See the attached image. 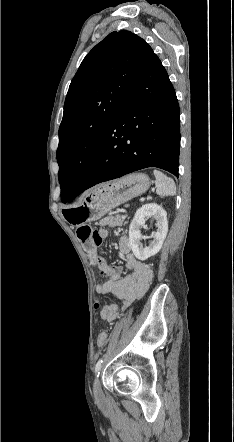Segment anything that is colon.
<instances>
[{
  "instance_id": "obj_1",
  "label": "colon",
  "mask_w": 234,
  "mask_h": 442,
  "mask_svg": "<svg viewBox=\"0 0 234 442\" xmlns=\"http://www.w3.org/2000/svg\"><path fill=\"white\" fill-rule=\"evenodd\" d=\"M77 236L81 241L84 249L93 254L96 252L97 247L101 244L102 240L99 237L97 231L93 230L89 225H82L77 229ZM97 306V305H96ZM106 342V333H100L97 339V344L102 347Z\"/></svg>"
}]
</instances>
